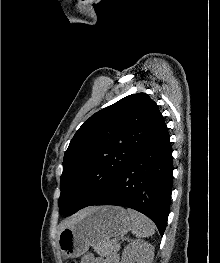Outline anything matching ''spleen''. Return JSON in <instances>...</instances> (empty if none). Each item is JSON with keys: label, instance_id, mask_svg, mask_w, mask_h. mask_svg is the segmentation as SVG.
<instances>
[{"label": "spleen", "instance_id": "spleen-1", "mask_svg": "<svg viewBox=\"0 0 220 263\" xmlns=\"http://www.w3.org/2000/svg\"><path fill=\"white\" fill-rule=\"evenodd\" d=\"M128 214L132 220V234L140 238L150 237L154 234L155 226L149 218L132 209H128Z\"/></svg>", "mask_w": 220, "mask_h": 263}]
</instances>
